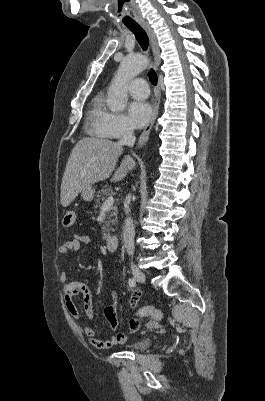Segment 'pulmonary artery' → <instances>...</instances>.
<instances>
[{"label":"pulmonary artery","instance_id":"e3ab8cb5","mask_svg":"<svg viewBox=\"0 0 265 401\" xmlns=\"http://www.w3.org/2000/svg\"><path fill=\"white\" fill-rule=\"evenodd\" d=\"M142 69H138L135 76L141 74ZM127 89L131 90L133 101H144L149 96L148 83L144 78L134 77V81H129L126 84Z\"/></svg>","mask_w":265,"mask_h":401}]
</instances>
